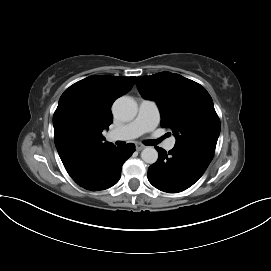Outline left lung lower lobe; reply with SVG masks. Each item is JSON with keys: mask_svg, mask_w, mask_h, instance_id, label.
<instances>
[{"mask_svg": "<svg viewBox=\"0 0 271 271\" xmlns=\"http://www.w3.org/2000/svg\"><path fill=\"white\" fill-rule=\"evenodd\" d=\"M155 148L159 156L148 169V180L168 193H178L192 186L213 159V153L189 146L175 145L168 153L160 147Z\"/></svg>", "mask_w": 271, "mask_h": 271, "instance_id": "1", "label": "left lung lower lobe"}]
</instances>
